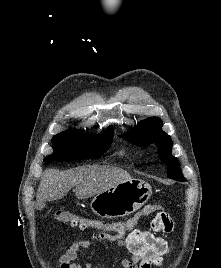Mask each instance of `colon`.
Returning <instances> with one entry per match:
<instances>
[{
    "label": "colon",
    "mask_w": 221,
    "mask_h": 268,
    "mask_svg": "<svg viewBox=\"0 0 221 268\" xmlns=\"http://www.w3.org/2000/svg\"><path fill=\"white\" fill-rule=\"evenodd\" d=\"M155 213H165L163 211V206L160 204L147 205L125 221L112 223H105L98 219L83 217L67 210L56 211L55 219L63 224H70L73 227H78L81 230L93 228L101 231L128 232L134 229L142 219Z\"/></svg>",
    "instance_id": "obj_1"
}]
</instances>
